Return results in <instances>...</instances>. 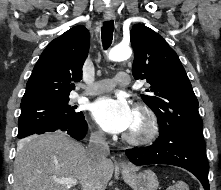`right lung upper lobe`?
Returning a JSON list of instances; mask_svg holds the SVG:
<instances>
[{
	"label": "right lung upper lobe",
	"mask_w": 221,
	"mask_h": 190,
	"mask_svg": "<svg viewBox=\"0 0 221 190\" xmlns=\"http://www.w3.org/2000/svg\"><path fill=\"white\" fill-rule=\"evenodd\" d=\"M89 44V31L82 25L51 41L33 69L20 106L69 97L73 82L82 79Z\"/></svg>",
	"instance_id": "cb5924a9"
}]
</instances>
